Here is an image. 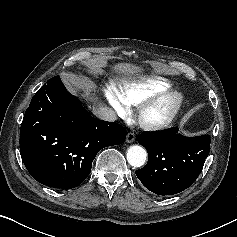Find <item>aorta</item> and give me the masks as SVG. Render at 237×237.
Returning a JSON list of instances; mask_svg holds the SVG:
<instances>
[{"mask_svg":"<svg viewBox=\"0 0 237 237\" xmlns=\"http://www.w3.org/2000/svg\"><path fill=\"white\" fill-rule=\"evenodd\" d=\"M147 158L146 150L138 145L130 146L127 150V161L133 167H141Z\"/></svg>","mask_w":237,"mask_h":237,"instance_id":"aorta-1","label":"aorta"}]
</instances>
